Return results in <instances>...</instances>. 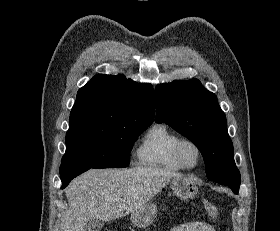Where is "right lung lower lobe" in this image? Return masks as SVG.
I'll return each instance as SVG.
<instances>
[{"label":"right lung lower lobe","mask_w":280,"mask_h":231,"mask_svg":"<svg viewBox=\"0 0 280 231\" xmlns=\"http://www.w3.org/2000/svg\"><path fill=\"white\" fill-rule=\"evenodd\" d=\"M88 167H72V166H65L60 167V178L62 180V187L61 189L65 188L69 182L79 174L87 171Z\"/></svg>","instance_id":"1"}]
</instances>
